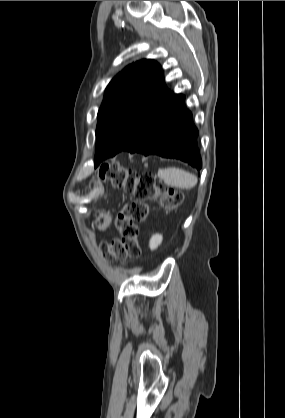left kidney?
<instances>
[{"instance_id": "left-kidney-1", "label": "left kidney", "mask_w": 285, "mask_h": 418, "mask_svg": "<svg viewBox=\"0 0 285 418\" xmlns=\"http://www.w3.org/2000/svg\"><path fill=\"white\" fill-rule=\"evenodd\" d=\"M162 240H163L162 235L160 234L153 235L149 242L150 249L155 250L162 243Z\"/></svg>"}]
</instances>
